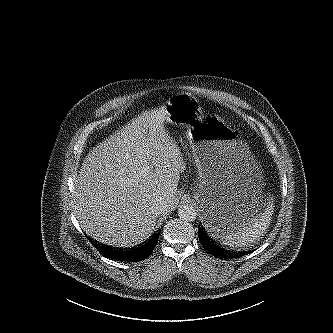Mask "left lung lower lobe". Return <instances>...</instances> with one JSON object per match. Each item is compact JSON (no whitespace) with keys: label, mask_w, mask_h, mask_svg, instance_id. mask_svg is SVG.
Masks as SVG:
<instances>
[{"label":"left lung lower lobe","mask_w":333,"mask_h":333,"mask_svg":"<svg viewBox=\"0 0 333 333\" xmlns=\"http://www.w3.org/2000/svg\"><path fill=\"white\" fill-rule=\"evenodd\" d=\"M198 229H199L198 236L200 243L214 257L232 259V258H239L245 255L244 251L240 252V251L228 250L225 247L221 246L219 243L213 240V238L208 234V232L205 230V228L202 225L199 224Z\"/></svg>","instance_id":"0a47b994"}]
</instances>
